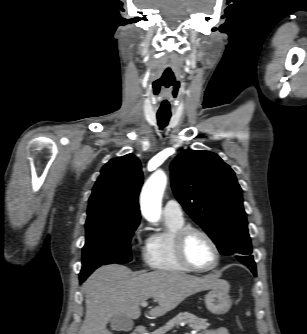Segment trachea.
I'll list each match as a JSON object with an SVG mask.
<instances>
[{
	"label": "trachea",
	"mask_w": 307,
	"mask_h": 334,
	"mask_svg": "<svg viewBox=\"0 0 307 334\" xmlns=\"http://www.w3.org/2000/svg\"><path fill=\"white\" fill-rule=\"evenodd\" d=\"M169 120L170 115H157L158 125L161 129L167 126Z\"/></svg>",
	"instance_id": "obj_1"
}]
</instances>
